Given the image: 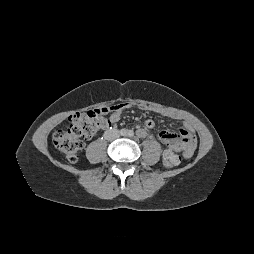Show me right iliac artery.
<instances>
[{
    "mask_svg": "<svg viewBox=\"0 0 254 254\" xmlns=\"http://www.w3.org/2000/svg\"><path fill=\"white\" fill-rule=\"evenodd\" d=\"M120 134H121L122 136H125V135L127 134V130H126V129H121V130H120Z\"/></svg>",
    "mask_w": 254,
    "mask_h": 254,
    "instance_id": "obj_1",
    "label": "right iliac artery"
}]
</instances>
